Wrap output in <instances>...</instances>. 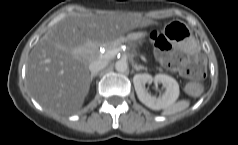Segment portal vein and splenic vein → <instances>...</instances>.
Segmentation results:
<instances>
[{"instance_id":"portal-vein-and-splenic-vein-1","label":"portal vein and splenic vein","mask_w":238,"mask_h":145,"mask_svg":"<svg viewBox=\"0 0 238 145\" xmlns=\"http://www.w3.org/2000/svg\"><path fill=\"white\" fill-rule=\"evenodd\" d=\"M118 52H119L118 48L117 49H112L110 51H107L104 54V58L110 59V58L114 57Z\"/></svg>"}]
</instances>
